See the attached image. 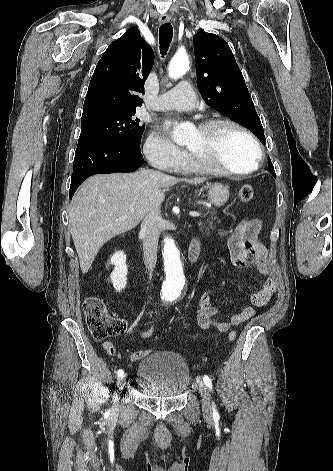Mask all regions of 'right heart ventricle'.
<instances>
[{
	"label": "right heart ventricle",
	"mask_w": 333,
	"mask_h": 471,
	"mask_svg": "<svg viewBox=\"0 0 333 471\" xmlns=\"http://www.w3.org/2000/svg\"><path fill=\"white\" fill-rule=\"evenodd\" d=\"M181 170L185 172H207L195 165H193L190 161H185L184 164L180 167Z\"/></svg>",
	"instance_id": "1"
}]
</instances>
